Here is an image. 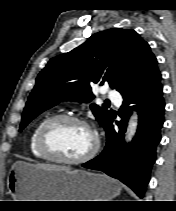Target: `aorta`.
Returning a JSON list of instances; mask_svg holds the SVG:
<instances>
[{
	"label": "aorta",
	"instance_id": "aorta-1",
	"mask_svg": "<svg viewBox=\"0 0 176 211\" xmlns=\"http://www.w3.org/2000/svg\"><path fill=\"white\" fill-rule=\"evenodd\" d=\"M138 117L137 114L134 113L131 117V120L128 123L127 132H126V140L131 141L135 136L137 126H138Z\"/></svg>",
	"mask_w": 176,
	"mask_h": 211
}]
</instances>
